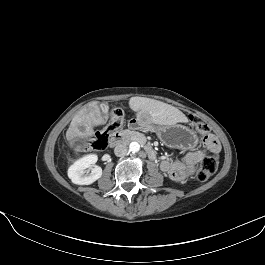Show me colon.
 <instances>
[{
	"label": "colon",
	"mask_w": 265,
	"mask_h": 265,
	"mask_svg": "<svg viewBox=\"0 0 265 265\" xmlns=\"http://www.w3.org/2000/svg\"><path fill=\"white\" fill-rule=\"evenodd\" d=\"M124 124V112L120 108H115L110 111L103 118L104 127L97 131L87 142V146L89 149H104L109 141L111 133L119 129ZM194 127L197 131L203 134V139H207L208 137V128L202 122H195ZM220 162L219 154L216 152H211L207 156H205L200 165L197 167L195 172V177L198 181L204 182L209 177L214 175L218 169Z\"/></svg>",
	"instance_id": "obj_1"
}]
</instances>
